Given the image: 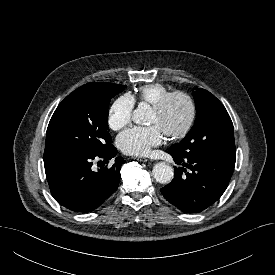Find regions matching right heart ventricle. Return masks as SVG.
Listing matches in <instances>:
<instances>
[{
	"instance_id": "obj_1",
	"label": "right heart ventricle",
	"mask_w": 275,
	"mask_h": 275,
	"mask_svg": "<svg viewBox=\"0 0 275 275\" xmlns=\"http://www.w3.org/2000/svg\"><path fill=\"white\" fill-rule=\"evenodd\" d=\"M170 90L160 83H152L141 86L135 95L131 96L134 101L138 100L141 103H148L154 105L163 96L169 93Z\"/></svg>"
}]
</instances>
